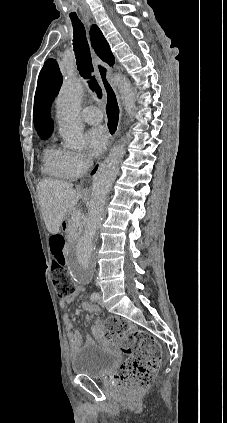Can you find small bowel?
Wrapping results in <instances>:
<instances>
[{"mask_svg": "<svg viewBox=\"0 0 227 423\" xmlns=\"http://www.w3.org/2000/svg\"><path fill=\"white\" fill-rule=\"evenodd\" d=\"M64 254H65V249H64ZM65 256H66V254H65ZM74 297H75V293L71 296H68V297H62L60 299V306L61 307L67 306V304H69L73 300ZM81 307L89 313H97L99 311V308L97 306L91 305L87 301H83L81 303ZM63 322H64V326L67 330V336H68L70 346L74 350L80 345L81 334L78 331L72 330V327H73L72 319L69 315H65L63 317ZM93 335L96 339H98L102 342L105 340L104 331H103V328L101 326H95L93 328Z\"/></svg>", "mask_w": 227, "mask_h": 423, "instance_id": "small-bowel-1", "label": "small bowel"}]
</instances>
